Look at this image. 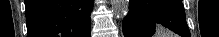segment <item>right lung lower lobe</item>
<instances>
[{
  "label": "right lung lower lobe",
  "instance_id": "1",
  "mask_svg": "<svg viewBox=\"0 0 219 37\" xmlns=\"http://www.w3.org/2000/svg\"><path fill=\"white\" fill-rule=\"evenodd\" d=\"M94 0H25L28 37H90Z\"/></svg>",
  "mask_w": 219,
  "mask_h": 37
}]
</instances>
